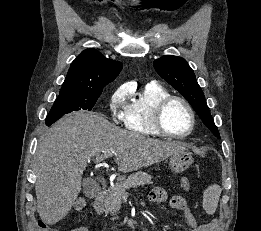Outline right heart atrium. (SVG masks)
I'll return each instance as SVG.
<instances>
[{
  "label": "right heart atrium",
  "mask_w": 261,
  "mask_h": 231,
  "mask_svg": "<svg viewBox=\"0 0 261 231\" xmlns=\"http://www.w3.org/2000/svg\"><path fill=\"white\" fill-rule=\"evenodd\" d=\"M126 94L127 88L119 87L110 96L108 106L112 117L116 122H123Z\"/></svg>",
  "instance_id": "d8ad5b80"
}]
</instances>
